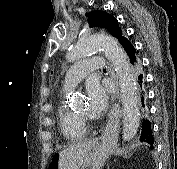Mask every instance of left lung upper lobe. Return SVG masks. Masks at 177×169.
<instances>
[{"label": "left lung upper lobe", "instance_id": "obj_1", "mask_svg": "<svg viewBox=\"0 0 177 169\" xmlns=\"http://www.w3.org/2000/svg\"><path fill=\"white\" fill-rule=\"evenodd\" d=\"M91 26H102L107 29L112 36L116 37L124 47L130 41L124 36L123 31L118 25V21L110 14L103 11H92L87 13Z\"/></svg>", "mask_w": 177, "mask_h": 169}]
</instances>
